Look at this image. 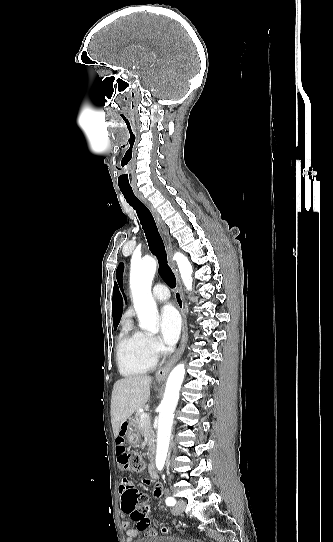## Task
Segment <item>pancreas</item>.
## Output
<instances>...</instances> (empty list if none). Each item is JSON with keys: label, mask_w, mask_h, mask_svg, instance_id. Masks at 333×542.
Masks as SVG:
<instances>
[{"label": "pancreas", "mask_w": 333, "mask_h": 542, "mask_svg": "<svg viewBox=\"0 0 333 542\" xmlns=\"http://www.w3.org/2000/svg\"><path fill=\"white\" fill-rule=\"evenodd\" d=\"M142 414H144V412H138V410H136V414L134 416V422H135L141 436H143V434H146V436L148 438V442H147L148 454H147V456H148V458H152L153 450L155 448L154 430H153V428H151L150 418H144V420H141Z\"/></svg>", "instance_id": "obj_1"}]
</instances>
